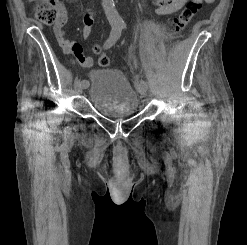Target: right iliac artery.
I'll list each match as a JSON object with an SVG mask.
<instances>
[{
	"label": "right iliac artery",
	"instance_id": "1",
	"mask_svg": "<svg viewBox=\"0 0 247 245\" xmlns=\"http://www.w3.org/2000/svg\"><path fill=\"white\" fill-rule=\"evenodd\" d=\"M122 28L120 26L112 27L109 38L104 43V49L110 48L120 37ZM79 87H87L86 80H78Z\"/></svg>",
	"mask_w": 247,
	"mask_h": 245
}]
</instances>
